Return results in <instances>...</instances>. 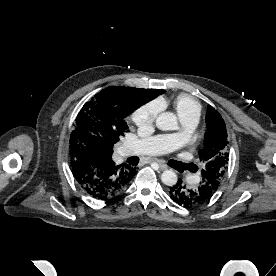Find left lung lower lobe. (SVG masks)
<instances>
[{"label":"left lung lower lobe","instance_id":"1","mask_svg":"<svg viewBox=\"0 0 276 276\" xmlns=\"http://www.w3.org/2000/svg\"><path fill=\"white\" fill-rule=\"evenodd\" d=\"M169 194L171 199L180 206L191 208L202 205L208 201L213 191L206 184H201L194 188H187L182 183V180L179 179L176 185L170 187Z\"/></svg>","mask_w":276,"mask_h":276}]
</instances>
